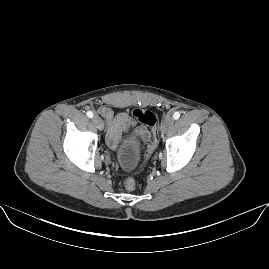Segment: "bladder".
<instances>
[{
	"mask_svg": "<svg viewBox=\"0 0 269 269\" xmlns=\"http://www.w3.org/2000/svg\"><path fill=\"white\" fill-rule=\"evenodd\" d=\"M139 148L134 139H127L123 142L120 152L117 156L118 166L122 170L133 171L138 163Z\"/></svg>",
	"mask_w": 269,
	"mask_h": 269,
	"instance_id": "obj_1",
	"label": "bladder"
}]
</instances>
